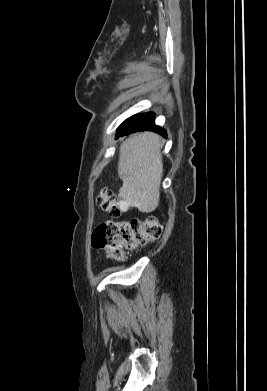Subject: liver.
I'll return each instance as SVG.
<instances>
[{
    "label": "liver",
    "instance_id": "1",
    "mask_svg": "<svg viewBox=\"0 0 267 391\" xmlns=\"http://www.w3.org/2000/svg\"><path fill=\"white\" fill-rule=\"evenodd\" d=\"M163 175L161 137L152 132L135 134L119 149V196L127 206L150 213L159 205Z\"/></svg>",
    "mask_w": 267,
    "mask_h": 391
}]
</instances>
